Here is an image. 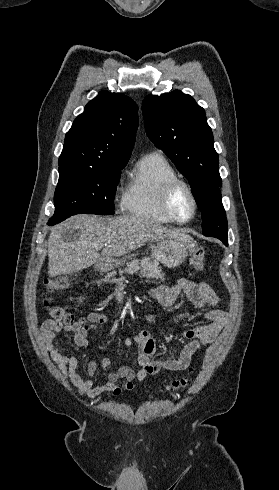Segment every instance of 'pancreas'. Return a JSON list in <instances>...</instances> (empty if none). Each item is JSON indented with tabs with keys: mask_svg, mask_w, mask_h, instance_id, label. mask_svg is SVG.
Segmentation results:
<instances>
[{
	"mask_svg": "<svg viewBox=\"0 0 279 490\" xmlns=\"http://www.w3.org/2000/svg\"><path fill=\"white\" fill-rule=\"evenodd\" d=\"M119 274H139V278H153V280H160V282L165 280V274H163L159 262H150L149 258L129 262L127 268L119 270Z\"/></svg>",
	"mask_w": 279,
	"mask_h": 490,
	"instance_id": "cf45deb5",
	"label": "pancreas"
}]
</instances>
